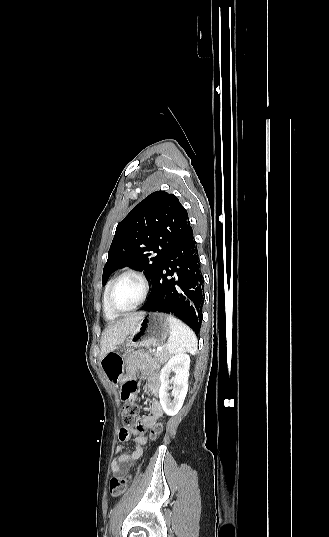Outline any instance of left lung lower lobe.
<instances>
[{"instance_id":"obj_1","label":"left lung lower lobe","mask_w":329,"mask_h":537,"mask_svg":"<svg viewBox=\"0 0 329 537\" xmlns=\"http://www.w3.org/2000/svg\"><path fill=\"white\" fill-rule=\"evenodd\" d=\"M151 282V292L141 310L173 314L198 335L203 277L191 226L163 259Z\"/></svg>"}]
</instances>
